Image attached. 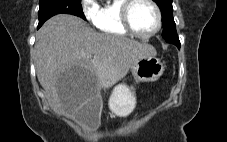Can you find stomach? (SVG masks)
<instances>
[{"label":"stomach","mask_w":227,"mask_h":142,"mask_svg":"<svg viewBox=\"0 0 227 142\" xmlns=\"http://www.w3.org/2000/svg\"><path fill=\"white\" fill-rule=\"evenodd\" d=\"M165 70L164 63L155 56L137 60L131 67L134 80L153 82L158 80ZM136 105V91L133 85L125 83L117 85L109 99V106L116 115L124 117L132 112Z\"/></svg>","instance_id":"0dacf381"}]
</instances>
